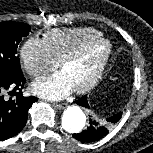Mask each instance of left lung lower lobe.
<instances>
[{"instance_id":"obj_1","label":"left lung lower lobe","mask_w":153,"mask_h":153,"mask_svg":"<svg viewBox=\"0 0 153 153\" xmlns=\"http://www.w3.org/2000/svg\"><path fill=\"white\" fill-rule=\"evenodd\" d=\"M74 103L89 108V104L87 101V95H84L80 99L74 101ZM122 112H119L107 119V123L103 124L95 119H90L89 126L86 130L82 131L78 134H73V137L81 142H93L101 139L105 135H107L109 128L117 123L121 118Z\"/></svg>"}]
</instances>
